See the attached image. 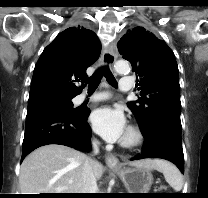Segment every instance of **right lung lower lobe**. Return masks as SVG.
I'll return each mask as SVG.
<instances>
[{
	"label": "right lung lower lobe",
	"instance_id": "98d812e1",
	"mask_svg": "<svg viewBox=\"0 0 208 198\" xmlns=\"http://www.w3.org/2000/svg\"><path fill=\"white\" fill-rule=\"evenodd\" d=\"M89 113L88 108H83L80 113L42 110L27 114L21 160L34 149L48 144L89 151L92 136L91 128L86 122Z\"/></svg>",
	"mask_w": 208,
	"mask_h": 198
}]
</instances>
